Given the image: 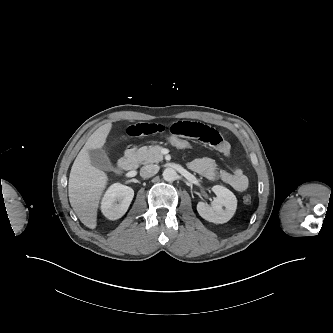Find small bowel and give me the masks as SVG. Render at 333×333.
I'll use <instances>...</instances> for the list:
<instances>
[{
    "instance_id": "obj_1",
    "label": "small bowel",
    "mask_w": 333,
    "mask_h": 333,
    "mask_svg": "<svg viewBox=\"0 0 333 333\" xmlns=\"http://www.w3.org/2000/svg\"><path fill=\"white\" fill-rule=\"evenodd\" d=\"M126 131L132 137L156 134L178 135L201 141L224 157H228L231 152L229 142L217 130L199 122L180 120L169 125L160 122H140L129 125ZM188 166L192 171L209 180H221L239 192L245 191L249 184L248 177L239 166L231 171L219 170L216 162L208 157L194 159Z\"/></svg>"
}]
</instances>
